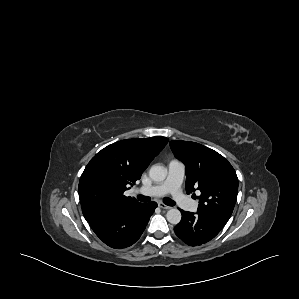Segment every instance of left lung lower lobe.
<instances>
[{
	"label": "left lung lower lobe",
	"instance_id": "1",
	"mask_svg": "<svg viewBox=\"0 0 299 299\" xmlns=\"http://www.w3.org/2000/svg\"><path fill=\"white\" fill-rule=\"evenodd\" d=\"M181 221L175 226L176 235L190 246L204 244L213 239L223 228L207 215L180 210Z\"/></svg>",
	"mask_w": 299,
	"mask_h": 299
}]
</instances>
